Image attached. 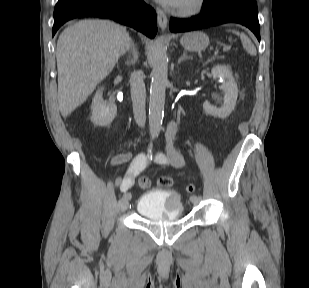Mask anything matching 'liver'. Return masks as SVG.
I'll return each instance as SVG.
<instances>
[{
  "mask_svg": "<svg viewBox=\"0 0 309 288\" xmlns=\"http://www.w3.org/2000/svg\"><path fill=\"white\" fill-rule=\"evenodd\" d=\"M128 38L125 27L107 20H82L61 33L56 58L58 104L64 118L109 75Z\"/></svg>",
  "mask_w": 309,
  "mask_h": 288,
  "instance_id": "1",
  "label": "liver"
}]
</instances>
